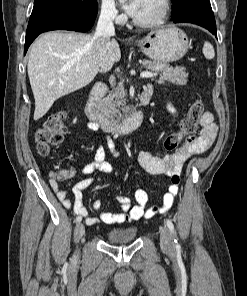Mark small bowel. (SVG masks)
<instances>
[{"label": "small bowel", "mask_w": 247, "mask_h": 296, "mask_svg": "<svg viewBox=\"0 0 247 296\" xmlns=\"http://www.w3.org/2000/svg\"><path fill=\"white\" fill-rule=\"evenodd\" d=\"M148 88L151 87L149 86ZM200 124L202 126L200 134L196 137L186 138L178 151L173 154H166L161 158H157L150 152L144 151L138 156L140 165L149 174L165 175L171 179V185L164 194L161 205L147 206V193L142 188L137 187L134 192L135 204L132 203L131 198L120 194L117 196V201L120 205L119 212H101L96 217L90 216L83 205V191L94 183L95 179L92 174L95 170H100L108 175L114 173L113 166L106 161L105 152L102 147H97L93 162L83 167L82 173L86 177L75 183L70 191L58 190L56 185L54 183L52 184L57 198L66 209H71L78 216H83L88 225L128 223L167 212L172 207L178 193V185L173 183L172 178L174 176H180L183 164L189 157L208 150L215 139L217 124L211 112L206 111L203 113ZM88 128L96 130L98 126L94 123H90ZM114 154L117 158H120L118 152ZM64 175L67 178L74 177V168L65 170ZM101 206L102 203L100 200H96L92 204V208L95 210L100 209Z\"/></svg>", "instance_id": "c3829d8e"}]
</instances>
